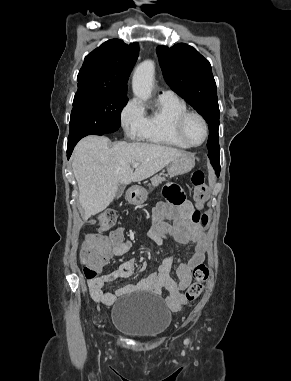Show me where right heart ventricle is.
<instances>
[{"label":"right heart ventricle","instance_id":"obj_1","mask_svg":"<svg viewBox=\"0 0 291 381\" xmlns=\"http://www.w3.org/2000/svg\"><path fill=\"white\" fill-rule=\"evenodd\" d=\"M187 111L186 103L179 97L159 96L154 109L143 116L138 136L156 145L188 149L176 132L177 119Z\"/></svg>","mask_w":291,"mask_h":381}]
</instances>
